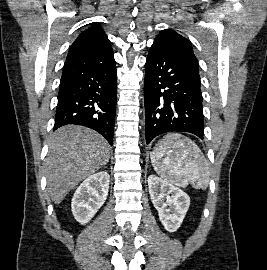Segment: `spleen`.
<instances>
[{
    "mask_svg": "<svg viewBox=\"0 0 267 270\" xmlns=\"http://www.w3.org/2000/svg\"><path fill=\"white\" fill-rule=\"evenodd\" d=\"M154 170L166 181L205 189L209 181L208 163L198 146L179 133L166 135L151 153Z\"/></svg>",
    "mask_w": 267,
    "mask_h": 270,
    "instance_id": "1",
    "label": "spleen"
}]
</instances>
